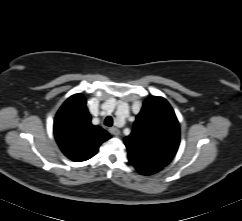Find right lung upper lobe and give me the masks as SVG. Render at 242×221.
<instances>
[{
    "label": "right lung upper lobe",
    "mask_w": 242,
    "mask_h": 221,
    "mask_svg": "<svg viewBox=\"0 0 242 221\" xmlns=\"http://www.w3.org/2000/svg\"><path fill=\"white\" fill-rule=\"evenodd\" d=\"M54 135L62 152L76 162L93 157L99 146L111 137L100 126L91 124L81 94L68 98L59 109L54 121Z\"/></svg>",
    "instance_id": "cb5924a9"
}]
</instances>
